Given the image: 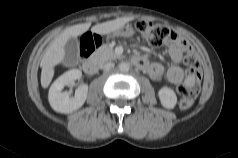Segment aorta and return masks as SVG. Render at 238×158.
Returning a JSON list of instances; mask_svg holds the SVG:
<instances>
[{
    "instance_id": "obj_1",
    "label": "aorta",
    "mask_w": 238,
    "mask_h": 158,
    "mask_svg": "<svg viewBox=\"0 0 238 158\" xmlns=\"http://www.w3.org/2000/svg\"><path fill=\"white\" fill-rule=\"evenodd\" d=\"M129 69H130L129 63H127V62H121V63L119 64V70H120L121 72H128Z\"/></svg>"
}]
</instances>
